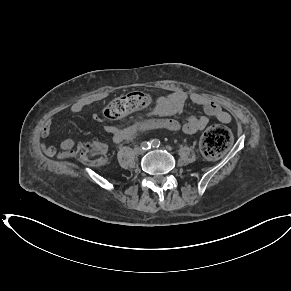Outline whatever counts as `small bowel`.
Returning a JSON list of instances; mask_svg holds the SVG:
<instances>
[{"label":"small bowel","instance_id":"obj_1","mask_svg":"<svg viewBox=\"0 0 291 291\" xmlns=\"http://www.w3.org/2000/svg\"><path fill=\"white\" fill-rule=\"evenodd\" d=\"M105 98L104 95H93L81 98L74 102L69 111L72 114L83 112L88 106L97 103ZM187 102L200 106L204 115L188 114L185 111ZM149 116H161L164 118H152L144 122H138L126 128H119L113 125H106L104 130L109 134L115 143H122L133 139L138 133L151 129H164L168 131H182L185 134L193 135L201 131L209 124V117L217 119L223 124L231 122V115L224 110L210 96L199 92L187 91H162L161 95L156 99L154 105L147 111ZM171 116H181L185 119L184 123L171 118ZM93 121L98 122L99 117L93 116ZM52 118H47L41 128V138L45 139L50 134ZM104 152L107 151L105 144H98ZM75 142L71 138H66L60 142V151L58 152L53 144L41 143L43 153L49 157L58 159L70 158L74 154Z\"/></svg>","mask_w":291,"mask_h":291}]
</instances>
